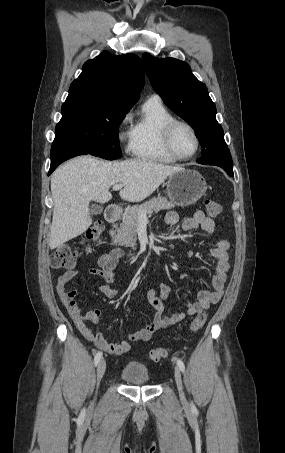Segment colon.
I'll return each instance as SVG.
<instances>
[{
	"label": "colon",
	"mask_w": 285,
	"mask_h": 453,
	"mask_svg": "<svg viewBox=\"0 0 285 453\" xmlns=\"http://www.w3.org/2000/svg\"><path fill=\"white\" fill-rule=\"evenodd\" d=\"M205 206L207 212L211 216H218L222 212V207L218 202L207 200L205 202ZM103 224L100 221L94 222L85 232L83 242L87 245L94 244L98 242L101 238L103 232ZM89 250L88 247L85 248V252ZM82 251L70 244H62L60 245L50 257V265L53 268L60 269V268H71L75 265L77 258L80 256ZM207 319V315L205 312H200L196 315L191 323V329L193 331L200 330ZM168 354L167 349L158 347L152 349L149 353V358L153 362H159L164 359Z\"/></svg>",
	"instance_id": "5ec220e1"
}]
</instances>
